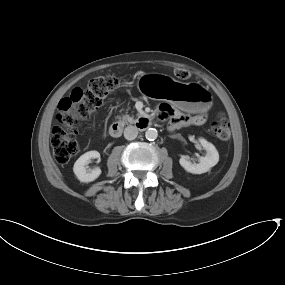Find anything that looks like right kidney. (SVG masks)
Masks as SVG:
<instances>
[{"mask_svg":"<svg viewBox=\"0 0 285 285\" xmlns=\"http://www.w3.org/2000/svg\"><path fill=\"white\" fill-rule=\"evenodd\" d=\"M95 158L100 159V153L98 151H88L77 159L73 171L79 181L88 183L100 176V168L88 169L87 166L91 159Z\"/></svg>","mask_w":285,"mask_h":285,"instance_id":"ca27d5eb","label":"right kidney"}]
</instances>
